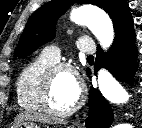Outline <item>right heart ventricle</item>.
I'll return each instance as SVG.
<instances>
[{
  "mask_svg": "<svg viewBox=\"0 0 142 128\" xmlns=\"http://www.w3.org/2000/svg\"><path fill=\"white\" fill-rule=\"evenodd\" d=\"M53 64L54 61L40 54L21 70L16 82V94L22 108L42 110L39 99L41 83L46 70Z\"/></svg>",
  "mask_w": 142,
  "mask_h": 128,
  "instance_id": "right-heart-ventricle-1",
  "label": "right heart ventricle"
}]
</instances>
